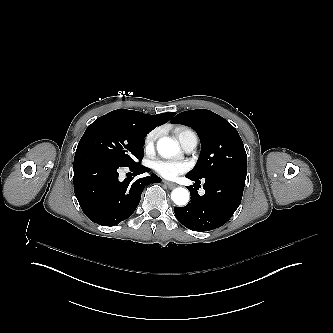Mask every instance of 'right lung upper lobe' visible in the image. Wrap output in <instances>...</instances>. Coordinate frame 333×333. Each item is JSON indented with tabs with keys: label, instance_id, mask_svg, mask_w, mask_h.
Returning a JSON list of instances; mask_svg holds the SVG:
<instances>
[{
	"label": "right lung upper lobe",
	"instance_id": "1",
	"mask_svg": "<svg viewBox=\"0 0 333 333\" xmlns=\"http://www.w3.org/2000/svg\"><path fill=\"white\" fill-rule=\"evenodd\" d=\"M175 114H176L175 112H170V113H162V114H158V115H147V114H144L139 111L118 109V110L112 111L106 115L115 116V117H118L121 119L129 120L132 123H135L139 126H142L145 129L151 131L155 127L168 122Z\"/></svg>",
	"mask_w": 333,
	"mask_h": 333
}]
</instances>
